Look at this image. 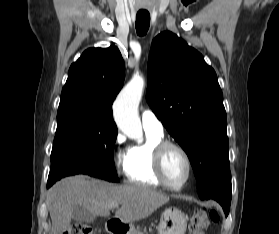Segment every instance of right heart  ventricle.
Segmentation results:
<instances>
[{"mask_svg":"<svg viewBox=\"0 0 279 234\" xmlns=\"http://www.w3.org/2000/svg\"><path fill=\"white\" fill-rule=\"evenodd\" d=\"M162 140L163 133L146 131L143 144L128 148L122 158V169L129 182L141 186H161L154 171L153 158L155 145Z\"/></svg>","mask_w":279,"mask_h":234,"instance_id":"right-heart-ventricle-1","label":"right heart ventricle"}]
</instances>
